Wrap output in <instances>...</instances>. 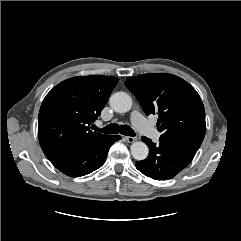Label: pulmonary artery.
<instances>
[{
    "label": "pulmonary artery",
    "mask_w": 241,
    "mask_h": 241,
    "mask_svg": "<svg viewBox=\"0 0 241 241\" xmlns=\"http://www.w3.org/2000/svg\"><path fill=\"white\" fill-rule=\"evenodd\" d=\"M131 121L135 126V128L141 133H143L144 135L148 136L153 140L159 139L160 133L153 125L147 122L139 112L137 111L132 112Z\"/></svg>",
    "instance_id": "e3ab8cb5"
}]
</instances>
